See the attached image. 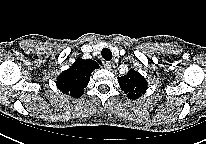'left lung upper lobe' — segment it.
<instances>
[{
  "label": "left lung upper lobe",
  "mask_w": 206,
  "mask_h": 144,
  "mask_svg": "<svg viewBox=\"0 0 206 144\" xmlns=\"http://www.w3.org/2000/svg\"><path fill=\"white\" fill-rule=\"evenodd\" d=\"M118 82L124 93L132 100L141 97L147 89L145 78L134 69H130L127 75L118 77Z\"/></svg>",
  "instance_id": "5c2ea615"
}]
</instances>
